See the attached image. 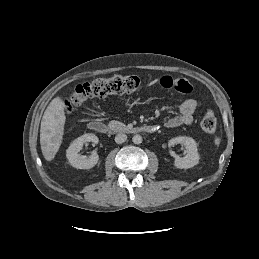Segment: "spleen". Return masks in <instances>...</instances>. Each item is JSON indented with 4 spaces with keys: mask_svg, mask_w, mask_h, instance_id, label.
<instances>
[{
    "mask_svg": "<svg viewBox=\"0 0 259 259\" xmlns=\"http://www.w3.org/2000/svg\"><path fill=\"white\" fill-rule=\"evenodd\" d=\"M215 144H216V145H219V144H220V138H218V137L215 138Z\"/></svg>",
    "mask_w": 259,
    "mask_h": 259,
    "instance_id": "obj_1",
    "label": "spleen"
}]
</instances>
